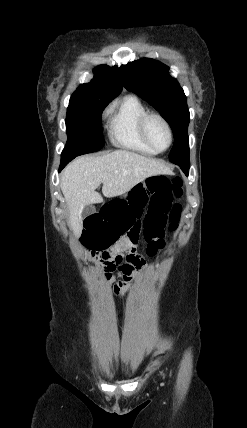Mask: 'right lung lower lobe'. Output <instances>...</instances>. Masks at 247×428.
Wrapping results in <instances>:
<instances>
[{"label": "right lung lower lobe", "instance_id": "98d812e1", "mask_svg": "<svg viewBox=\"0 0 247 428\" xmlns=\"http://www.w3.org/2000/svg\"><path fill=\"white\" fill-rule=\"evenodd\" d=\"M75 157H63L61 158V164L59 167V172L71 161L73 160Z\"/></svg>", "mask_w": 247, "mask_h": 428}]
</instances>
